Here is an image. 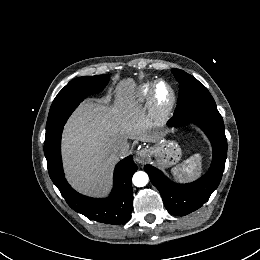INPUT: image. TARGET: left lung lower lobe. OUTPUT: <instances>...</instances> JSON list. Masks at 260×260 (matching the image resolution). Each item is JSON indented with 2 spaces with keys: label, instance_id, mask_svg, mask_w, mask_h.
<instances>
[{
  "label": "left lung lower lobe",
  "instance_id": "left-lung-lower-lobe-1",
  "mask_svg": "<svg viewBox=\"0 0 260 260\" xmlns=\"http://www.w3.org/2000/svg\"><path fill=\"white\" fill-rule=\"evenodd\" d=\"M189 122L197 124L208 136L213 147V160L208 172L197 181L189 184H175L151 165L144 170L152 184L161 193L169 213L176 216L187 215L200 208L219 185L227 157V139L224 123L217 107H194L184 113L174 115L170 126Z\"/></svg>",
  "mask_w": 260,
  "mask_h": 260
}]
</instances>
